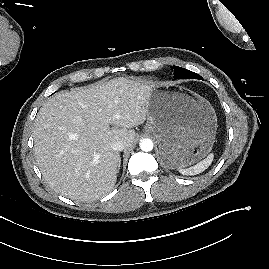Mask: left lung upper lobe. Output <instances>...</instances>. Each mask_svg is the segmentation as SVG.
<instances>
[{
  "instance_id": "obj_1",
  "label": "left lung upper lobe",
  "mask_w": 269,
  "mask_h": 269,
  "mask_svg": "<svg viewBox=\"0 0 269 269\" xmlns=\"http://www.w3.org/2000/svg\"><path fill=\"white\" fill-rule=\"evenodd\" d=\"M173 70L175 79H203L199 74L182 67L173 66Z\"/></svg>"
}]
</instances>
